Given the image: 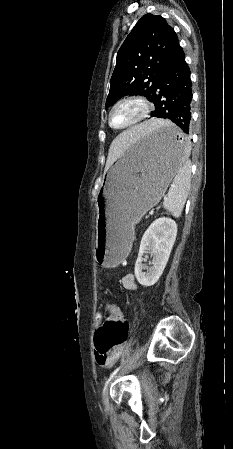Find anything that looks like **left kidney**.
Instances as JSON below:
<instances>
[{"label":"left kidney","mask_w":233,"mask_h":449,"mask_svg":"<svg viewBox=\"0 0 233 449\" xmlns=\"http://www.w3.org/2000/svg\"><path fill=\"white\" fill-rule=\"evenodd\" d=\"M176 236V222L166 217L156 219L145 231L135 263V276L142 286H152L159 280L168 262ZM145 253L153 255L152 267L146 273L143 270L147 267L142 264Z\"/></svg>","instance_id":"obj_1"}]
</instances>
